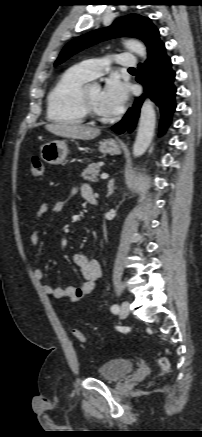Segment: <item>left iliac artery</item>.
Wrapping results in <instances>:
<instances>
[{
  "label": "left iliac artery",
  "instance_id": "left-iliac-artery-1",
  "mask_svg": "<svg viewBox=\"0 0 202 437\" xmlns=\"http://www.w3.org/2000/svg\"><path fill=\"white\" fill-rule=\"evenodd\" d=\"M111 311H112V312H118V311H119V306L116 305V304H115V305H112V306H111Z\"/></svg>",
  "mask_w": 202,
  "mask_h": 437
}]
</instances>
